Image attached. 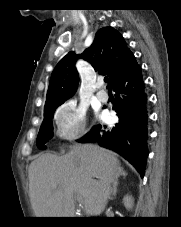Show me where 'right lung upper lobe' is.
Here are the masks:
<instances>
[{"label": "right lung upper lobe", "mask_w": 181, "mask_h": 227, "mask_svg": "<svg viewBox=\"0 0 181 227\" xmlns=\"http://www.w3.org/2000/svg\"><path fill=\"white\" fill-rule=\"evenodd\" d=\"M130 55L132 53L118 31L112 27L101 28L97 31L92 45L81 55L70 52L56 65L50 78L45 108L62 104L75 93L79 82L75 68L77 58H83L95 70L108 75L112 83Z\"/></svg>", "instance_id": "cb5924a9"}]
</instances>
